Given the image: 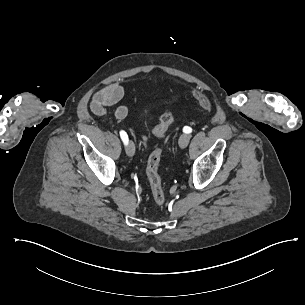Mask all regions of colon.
<instances>
[{"mask_svg":"<svg viewBox=\"0 0 305 305\" xmlns=\"http://www.w3.org/2000/svg\"><path fill=\"white\" fill-rule=\"evenodd\" d=\"M190 92L195 93V98L198 103L207 111L212 110V104L209 99L198 90L197 85L192 84L189 87ZM198 90V91H197ZM173 122V114L171 112H165L161 115L159 123L155 125L153 133L157 136H162L167 128ZM162 149H154L148 158L147 163V177L150 183L151 196L155 203L161 205L165 202L166 196L162 187L161 179L158 173V167L161 159Z\"/></svg>","mask_w":305,"mask_h":305,"instance_id":"5ec220e1","label":"colon"}]
</instances>
